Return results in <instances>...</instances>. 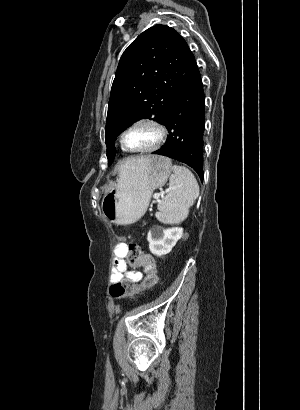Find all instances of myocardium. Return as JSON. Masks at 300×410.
<instances>
[{
  "label": "myocardium",
  "mask_w": 300,
  "mask_h": 410,
  "mask_svg": "<svg viewBox=\"0 0 300 410\" xmlns=\"http://www.w3.org/2000/svg\"><path fill=\"white\" fill-rule=\"evenodd\" d=\"M138 125H150L156 129L158 132V139L157 141L150 147L147 148H141V149H131L125 145L124 142V137L126 133L131 130L132 128L138 126ZM168 136V131L165 125L160 122L157 119L150 118V117H144V118H139L132 123H130L120 134L119 141L122 149L128 153H152L157 150H159L165 143L166 139Z\"/></svg>",
  "instance_id": "myocardium-1"
}]
</instances>
